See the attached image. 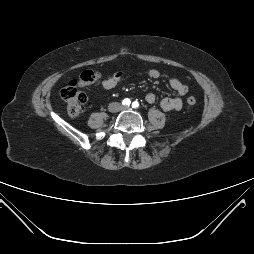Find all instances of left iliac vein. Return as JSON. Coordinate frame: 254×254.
<instances>
[{
  "instance_id": "left-iliac-vein-1",
  "label": "left iliac vein",
  "mask_w": 254,
  "mask_h": 254,
  "mask_svg": "<svg viewBox=\"0 0 254 254\" xmlns=\"http://www.w3.org/2000/svg\"><path fill=\"white\" fill-rule=\"evenodd\" d=\"M121 109H122V110H128L129 107H126V106H125V107H121Z\"/></svg>"
}]
</instances>
